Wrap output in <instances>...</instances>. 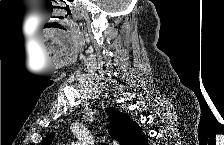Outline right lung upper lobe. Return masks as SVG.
I'll use <instances>...</instances> for the list:
<instances>
[{
    "label": "right lung upper lobe",
    "instance_id": "cb5924a9",
    "mask_svg": "<svg viewBox=\"0 0 224 145\" xmlns=\"http://www.w3.org/2000/svg\"><path fill=\"white\" fill-rule=\"evenodd\" d=\"M107 111L110 117L108 131L120 145H142L143 141L148 138L139 125L126 114L113 108H108ZM53 135V133L49 135L45 143L52 141Z\"/></svg>",
    "mask_w": 224,
    "mask_h": 145
}]
</instances>
